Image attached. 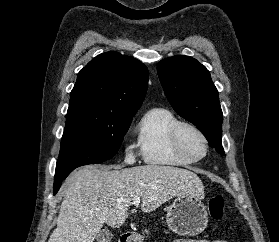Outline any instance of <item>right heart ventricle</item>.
<instances>
[{
	"instance_id": "1",
	"label": "right heart ventricle",
	"mask_w": 279,
	"mask_h": 242,
	"mask_svg": "<svg viewBox=\"0 0 279 242\" xmlns=\"http://www.w3.org/2000/svg\"><path fill=\"white\" fill-rule=\"evenodd\" d=\"M178 119L168 109L148 110L137 127V146L144 162L154 166L185 167L192 162L177 154L171 142V131Z\"/></svg>"
}]
</instances>
